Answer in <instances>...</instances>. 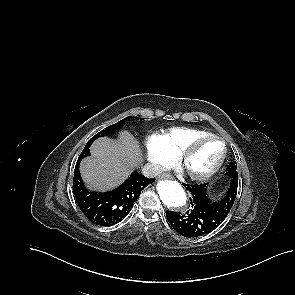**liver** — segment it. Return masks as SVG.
Instances as JSON below:
<instances>
[{
  "mask_svg": "<svg viewBox=\"0 0 295 295\" xmlns=\"http://www.w3.org/2000/svg\"><path fill=\"white\" fill-rule=\"evenodd\" d=\"M90 149L91 157L81 162L80 172L84 182L93 190L116 187L142 161L139 143L127 131L120 133L119 141L101 137Z\"/></svg>",
  "mask_w": 295,
  "mask_h": 295,
  "instance_id": "liver-1",
  "label": "liver"
}]
</instances>
